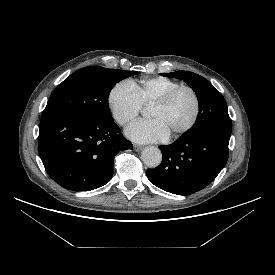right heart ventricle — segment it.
<instances>
[{
    "instance_id": "1",
    "label": "right heart ventricle",
    "mask_w": 275,
    "mask_h": 275,
    "mask_svg": "<svg viewBox=\"0 0 275 275\" xmlns=\"http://www.w3.org/2000/svg\"><path fill=\"white\" fill-rule=\"evenodd\" d=\"M139 99L143 106L153 105L171 89L180 85L179 82L167 77L143 78L135 84Z\"/></svg>"
}]
</instances>
